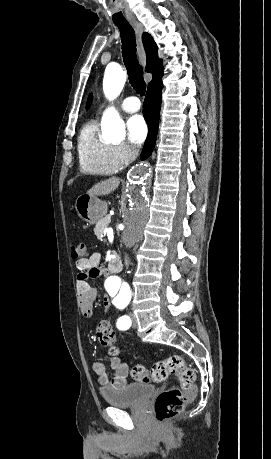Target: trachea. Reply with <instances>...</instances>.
Returning <instances> with one entry per match:
<instances>
[{"label":"trachea","instance_id":"1","mask_svg":"<svg viewBox=\"0 0 271 459\" xmlns=\"http://www.w3.org/2000/svg\"><path fill=\"white\" fill-rule=\"evenodd\" d=\"M120 30L122 40V56L128 72V79L134 90L145 95L146 83L143 78V67L136 55V39L134 29L130 24L116 25Z\"/></svg>","mask_w":271,"mask_h":459}]
</instances>
